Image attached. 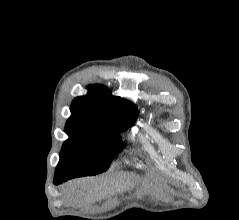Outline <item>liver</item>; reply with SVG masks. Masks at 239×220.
Returning <instances> with one entry per match:
<instances>
[{
	"label": "liver",
	"mask_w": 239,
	"mask_h": 220,
	"mask_svg": "<svg viewBox=\"0 0 239 220\" xmlns=\"http://www.w3.org/2000/svg\"><path fill=\"white\" fill-rule=\"evenodd\" d=\"M133 178L130 173H122L118 181L108 178H85L69 182L63 190L64 197L71 204H85L104 198L121 184L129 183Z\"/></svg>",
	"instance_id": "liver-1"
}]
</instances>
